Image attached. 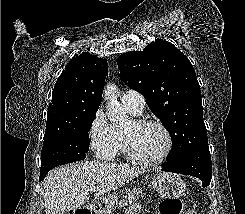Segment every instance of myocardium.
<instances>
[{"label": "myocardium", "instance_id": "f54148a6", "mask_svg": "<svg viewBox=\"0 0 245 214\" xmlns=\"http://www.w3.org/2000/svg\"><path fill=\"white\" fill-rule=\"evenodd\" d=\"M133 124L137 127H143V126L158 127L165 135L166 145H165L164 150L158 156L153 157V158H147L136 152V150L134 149L132 145L130 137L126 133H123L125 149H126L128 156L132 160L142 163V164L152 165V164H156L162 161L169 155V153L171 152L173 148V139H172V135L170 131L162 122L158 120H153V119H137L133 121Z\"/></svg>", "mask_w": 245, "mask_h": 214}]
</instances>
